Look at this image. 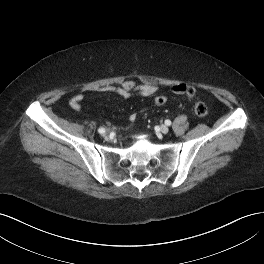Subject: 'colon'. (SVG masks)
I'll use <instances>...</instances> for the list:
<instances>
[{
  "mask_svg": "<svg viewBox=\"0 0 264 264\" xmlns=\"http://www.w3.org/2000/svg\"><path fill=\"white\" fill-rule=\"evenodd\" d=\"M185 93L190 99L193 100V109H194V112L198 116L204 117V116L208 115L209 109L206 106V104L201 102V101L194 100V97H195V88L194 87L187 86ZM154 102L156 105L162 106L167 102V97L164 95H159V96L155 97Z\"/></svg>",
  "mask_w": 264,
  "mask_h": 264,
  "instance_id": "5ec220e1",
  "label": "colon"
}]
</instances>
